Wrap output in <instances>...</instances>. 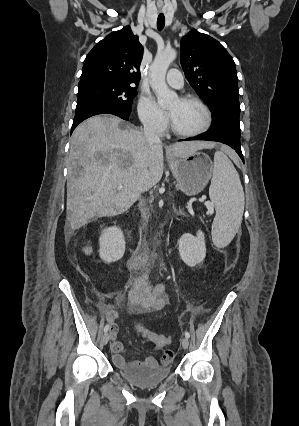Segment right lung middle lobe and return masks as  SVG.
Masks as SVG:
<instances>
[{
  "label": "right lung middle lobe",
  "mask_w": 299,
  "mask_h": 426,
  "mask_svg": "<svg viewBox=\"0 0 299 426\" xmlns=\"http://www.w3.org/2000/svg\"><path fill=\"white\" fill-rule=\"evenodd\" d=\"M136 88L116 83H90L79 85L77 103L84 100H100L131 112L132 102L136 97Z\"/></svg>",
  "instance_id": "obj_1"
}]
</instances>
